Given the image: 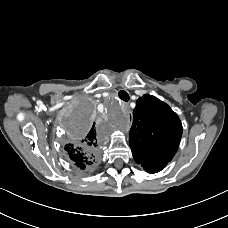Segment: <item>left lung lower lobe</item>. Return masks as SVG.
<instances>
[{"mask_svg":"<svg viewBox=\"0 0 228 228\" xmlns=\"http://www.w3.org/2000/svg\"><path fill=\"white\" fill-rule=\"evenodd\" d=\"M168 161L161 159H154L150 166L143 167L149 173H157L161 171L166 165Z\"/></svg>","mask_w":228,"mask_h":228,"instance_id":"obj_1","label":"left lung lower lobe"}]
</instances>
